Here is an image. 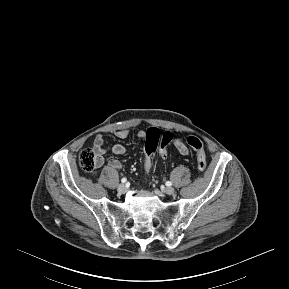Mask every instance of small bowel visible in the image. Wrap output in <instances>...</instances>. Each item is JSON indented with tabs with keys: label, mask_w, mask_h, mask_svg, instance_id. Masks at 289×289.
Segmentation results:
<instances>
[{
	"label": "small bowel",
	"mask_w": 289,
	"mask_h": 289,
	"mask_svg": "<svg viewBox=\"0 0 289 289\" xmlns=\"http://www.w3.org/2000/svg\"><path fill=\"white\" fill-rule=\"evenodd\" d=\"M145 134L146 132L139 131L136 133V137L139 139H144ZM115 136L119 139H125L128 136V132L125 130L117 131L115 133ZM174 146L181 155L187 156L189 154L188 148L186 147V145L183 143L181 139H176L174 141ZM93 148H94L95 153L98 156V160H99L98 167H99L104 162V154L106 152L104 139L101 135H98L95 137L94 142H93ZM111 151L113 154L121 156L126 153V147L123 144L117 143L112 146ZM108 165L114 169H120L122 167V163L117 159H111Z\"/></svg>",
	"instance_id": "1"
}]
</instances>
